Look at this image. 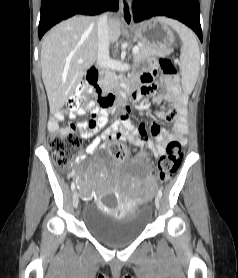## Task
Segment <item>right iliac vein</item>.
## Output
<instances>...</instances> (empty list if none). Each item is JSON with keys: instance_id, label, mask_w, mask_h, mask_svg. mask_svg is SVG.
Listing matches in <instances>:
<instances>
[{"instance_id": "1", "label": "right iliac vein", "mask_w": 238, "mask_h": 278, "mask_svg": "<svg viewBox=\"0 0 238 278\" xmlns=\"http://www.w3.org/2000/svg\"><path fill=\"white\" fill-rule=\"evenodd\" d=\"M79 204V195L78 193L75 191L74 194H73V205L75 207H77Z\"/></svg>"}]
</instances>
